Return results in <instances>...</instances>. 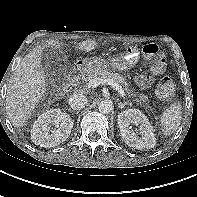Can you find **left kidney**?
Wrapping results in <instances>:
<instances>
[{"label": "left kidney", "mask_w": 197, "mask_h": 197, "mask_svg": "<svg viewBox=\"0 0 197 197\" xmlns=\"http://www.w3.org/2000/svg\"><path fill=\"white\" fill-rule=\"evenodd\" d=\"M139 125L141 137L130 129V124ZM118 125L124 142L135 149H151L156 144L153 127L148 118L138 109H128L118 115Z\"/></svg>", "instance_id": "1"}]
</instances>
